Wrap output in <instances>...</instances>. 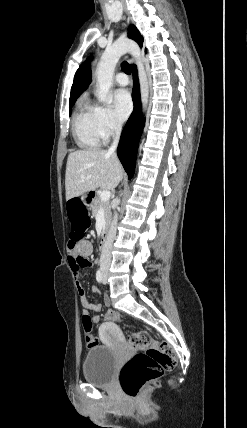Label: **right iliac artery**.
<instances>
[{
    "label": "right iliac artery",
    "mask_w": 247,
    "mask_h": 428,
    "mask_svg": "<svg viewBox=\"0 0 247 428\" xmlns=\"http://www.w3.org/2000/svg\"><path fill=\"white\" fill-rule=\"evenodd\" d=\"M96 280L99 283H101V281H102V272H101V269H98L97 272H96Z\"/></svg>",
    "instance_id": "1"
}]
</instances>
